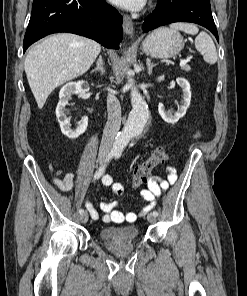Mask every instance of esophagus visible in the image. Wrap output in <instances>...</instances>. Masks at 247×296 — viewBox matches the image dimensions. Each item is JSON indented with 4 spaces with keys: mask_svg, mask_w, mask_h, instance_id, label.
Masks as SVG:
<instances>
[{
    "mask_svg": "<svg viewBox=\"0 0 247 296\" xmlns=\"http://www.w3.org/2000/svg\"><path fill=\"white\" fill-rule=\"evenodd\" d=\"M123 30L126 35L131 36L133 34V22L128 15L123 16Z\"/></svg>",
    "mask_w": 247,
    "mask_h": 296,
    "instance_id": "obj_1",
    "label": "esophagus"
}]
</instances>
